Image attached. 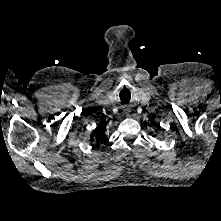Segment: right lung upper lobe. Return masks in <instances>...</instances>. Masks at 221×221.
I'll return each instance as SVG.
<instances>
[{"mask_svg":"<svg viewBox=\"0 0 221 221\" xmlns=\"http://www.w3.org/2000/svg\"><path fill=\"white\" fill-rule=\"evenodd\" d=\"M105 131H106V126L103 123L97 125L96 130L93 131L91 140L96 142L97 147L100 143H104L106 141L107 137L105 135Z\"/></svg>","mask_w":221,"mask_h":221,"instance_id":"1","label":"right lung upper lobe"}]
</instances>
